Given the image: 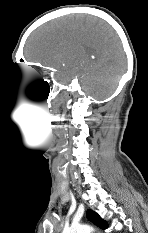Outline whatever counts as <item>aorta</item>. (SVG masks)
Masks as SVG:
<instances>
[{"instance_id":"obj_1","label":"aorta","mask_w":148,"mask_h":233,"mask_svg":"<svg viewBox=\"0 0 148 233\" xmlns=\"http://www.w3.org/2000/svg\"><path fill=\"white\" fill-rule=\"evenodd\" d=\"M93 228L86 224L72 225L63 230L62 233H92Z\"/></svg>"}]
</instances>
